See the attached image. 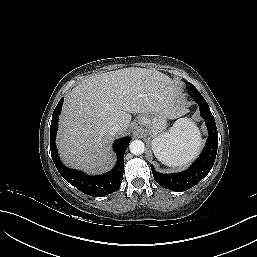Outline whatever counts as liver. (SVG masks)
Segmentation results:
<instances>
[{"instance_id": "liver-1", "label": "liver", "mask_w": 257, "mask_h": 257, "mask_svg": "<svg viewBox=\"0 0 257 257\" xmlns=\"http://www.w3.org/2000/svg\"><path fill=\"white\" fill-rule=\"evenodd\" d=\"M162 109L168 118L184 114L171 79L155 70L130 67L90 76L66 96L59 119L57 146L66 164L89 174L113 164L110 128L124 134L130 113Z\"/></svg>"}]
</instances>
